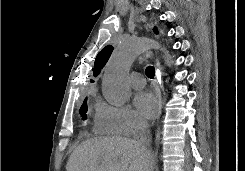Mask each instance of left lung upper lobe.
<instances>
[{
    "mask_svg": "<svg viewBox=\"0 0 245 171\" xmlns=\"http://www.w3.org/2000/svg\"><path fill=\"white\" fill-rule=\"evenodd\" d=\"M154 32L156 34L158 33L156 28H154ZM112 51H113V47L111 45H108L98 53L94 64V70H93L94 76H97L100 73L101 69L108 61Z\"/></svg>",
    "mask_w": 245,
    "mask_h": 171,
    "instance_id": "1",
    "label": "left lung upper lobe"
}]
</instances>
